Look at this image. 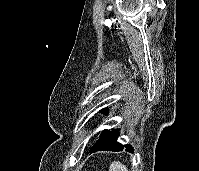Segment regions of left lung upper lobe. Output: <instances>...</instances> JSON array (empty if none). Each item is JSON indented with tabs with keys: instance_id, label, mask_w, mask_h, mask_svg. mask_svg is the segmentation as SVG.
I'll use <instances>...</instances> for the list:
<instances>
[{
	"instance_id": "5c2ea615",
	"label": "left lung upper lobe",
	"mask_w": 199,
	"mask_h": 171,
	"mask_svg": "<svg viewBox=\"0 0 199 171\" xmlns=\"http://www.w3.org/2000/svg\"><path fill=\"white\" fill-rule=\"evenodd\" d=\"M100 112H102L103 114L107 115V113H108V108L101 109Z\"/></svg>"
}]
</instances>
